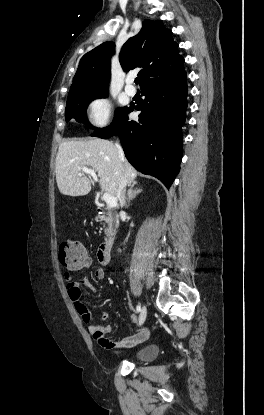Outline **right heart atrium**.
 <instances>
[{
	"label": "right heart atrium",
	"instance_id": "d8ad5b80",
	"mask_svg": "<svg viewBox=\"0 0 264 415\" xmlns=\"http://www.w3.org/2000/svg\"><path fill=\"white\" fill-rule=\"evenodd\" d=\"M112 115V101L101 96L94 98L88 105V117L90 122L97 127L107 125Z\"/></svg>",
	"mask_w": 264,
	"mask_h": 415
}]
</instances>
